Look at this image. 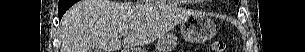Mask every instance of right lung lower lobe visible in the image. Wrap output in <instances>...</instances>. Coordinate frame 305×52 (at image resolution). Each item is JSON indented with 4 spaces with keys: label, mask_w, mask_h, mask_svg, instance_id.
Here are the masks:
<instances>
[{
    "label": "right lung lower lobe",
    "mask_w": 305,
    "mask_h": 52,
    "mask_svg": "<svg viewBox=\"0 0 305 52\" xmlns=\"http://www.w3.org/2000/svg\"><path fill=\"white\" fill-rule=\"evenodd\" d=\"M76 0H60L59 1V20H61L63 14L66 12L68 8H70L74 3H76Z\"/></svg>",
    "instance_id": "obj_1"
}]
</instances>
